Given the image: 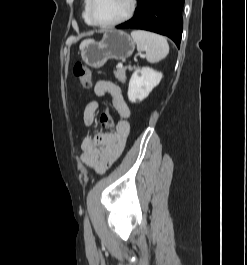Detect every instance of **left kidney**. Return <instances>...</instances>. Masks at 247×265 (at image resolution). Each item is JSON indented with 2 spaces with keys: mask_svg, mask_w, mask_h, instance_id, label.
<instances>
[{
  "mask_svg": "<svg viewBox=\"0 0 247 265\" xmlns=\"http://www.w3.org/2000/svg\"><path fill=\"white\" fill-rule=\"evenodd\" d=\"M162 79V73L149 67L136 69L128 87V98L132 103L144 100Z\"/></svg>",
  "mask_w": 247,
  "mask_h": 265,
  "instance_id": "1",
  "label": "left kidney"
}]
</instances>
